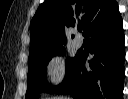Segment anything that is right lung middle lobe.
I'll return each mask as SVG.
<instances>
[{
    "instance_id": "right-lung-middle-lobe-1",
    "label": "right lung middle lobe",
    "mask_w": 128,
    "mask_h": 99,
    "mask_svg": "<svg viewBox=\"0 0 128 99\" xmlns=\"http://www.w3.org/2000/svg\"><path fill=\"white\" fill-rule=\"evenodd\" d=\"M64 54H65V49L64 47H61L29 58L26 99L38 98L39 93L41 92L54 93L66 81L76 62L78 54L74 58L68 57L66 59V74L62 84L56 87H52L48 84L46 80L47 64L51 59V57L55 55H64Z\"/></svg>"
}]
</instances>
